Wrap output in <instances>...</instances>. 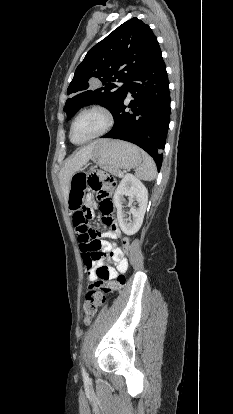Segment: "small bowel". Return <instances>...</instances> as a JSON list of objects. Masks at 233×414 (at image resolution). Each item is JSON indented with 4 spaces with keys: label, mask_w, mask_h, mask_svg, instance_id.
<instances>
[{
    "label": "small bowel",
    "mask_w": 233,
    "mask_h": 414,
    "mask_svg": "<svg viewBox=\"0 0 233 414\" xmlns=\"http://www.w3.org/2000/svg\"><path fill=\"white\" fill-rule=\"evenodd\" d=\"M87 205L88 209L91 212V206L93 205L92 195L88 196ZM105 224L109 227V230L103 233V237L110 238L113 240L120 238L121 230L116 220L111 215L107 218ZM102 244L104 249V255L100 259L96 260L89 268L88 278L90 281H95L97 279L96 271L101 267H105L107 269L108 279H115L120 274L126 273L128 269V260L119 259L114 255V253L117 250H119L118 247L109 242H102Z\"/></svg>",
    "instance_id": "small-bowel-1"
}]
</instances>
